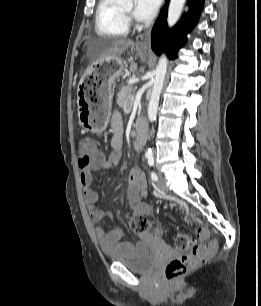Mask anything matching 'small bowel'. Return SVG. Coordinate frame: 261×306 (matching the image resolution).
<instances>
[{
  "label": "small bowel",
  "mask_w": 261,
  "mask_h": 306,
  "mask_svg": "<svg viewBox=\"0 0 261 306\" xmlns=\"http://www.w3.org/2000/svg\"><path fill=\"white\" fill-rule=\"evenodd\" d=\"M111 131V151L108 157L98 164L83 169L79 175L88 215L91 222L95 224L110 217V213L101 210L97 205L98 197L91 187L92 173L93 171L108 170L118 166L123 155V122L120 114L117 112L113 114L111 119ZM146 189L147 183L144 174L139 169H132L128 177L127 199L134 214L147 215L151 212L149 204L142 200V194ZM94 234L101 248L106 252L127 254L132 248L129 243L122 241L123 234L119 228L106 231L101 227H95Z\"/></svg>",
  "instance_id": "1"
}]
</instances>
